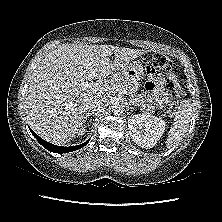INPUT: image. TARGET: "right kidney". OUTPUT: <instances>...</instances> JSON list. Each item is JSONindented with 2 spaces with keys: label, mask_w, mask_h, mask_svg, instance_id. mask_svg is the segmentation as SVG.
Here are the masks:
<instances>
[{
  "label": "right kidney",
  "mask_w": 222,
  "mask_h": 222,
  "mask_svg": "<svg viewBox=\"0 0 222 222\" xmlns=\"http://www.w3.org/2000/svg\"><path fill=\"white\" fill-rule=\"evenodd\" d=\"M85 132H86V129H85V128H79L77 134H78V136H82V135L85 134Z\"/></svg>",
  "instance_id": "obj_1"
}]
</instances>
